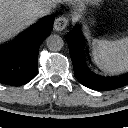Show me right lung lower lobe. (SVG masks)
Returning a JSON list of instances; mask_svg holds the SVG:
<instances>
[{
  "label": "right lung lower lobe",
  "instance_id": "98d812e1",
  "mask_svg": "<svg viewBox=\"0 0 128 128\" xmlns=\"http://www.w3.org/2000/svg\"><path fill=\"white\" fill-rule=\"evenodd\" d=\"M54 16L46 17L30 28L16 45L0 50V83L21 86L38 72V51L52 31Z\"/></svg>",
  "mask_w": 128,
  "mask_h": 128
}]
</instances>
